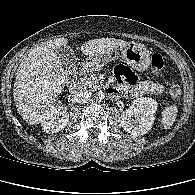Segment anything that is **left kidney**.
<instances>
[{
  "label": "left kidney",
  "mask_w": 195,
  "mask_h": 195,
  "mask_svg": "<svg viewBox=\"0 0 195 195\" xmlns=\"http://www.w3.org/2000/svg\"><path fill=\"white\" fill-rule=\"evenodd\" d=\"M157 107L158 103L152 98L135 99L120 117L123 129L132 135H144L154 123Z\"/></svg>",
  "instance_id": "obj_1"
}]
</instances>
